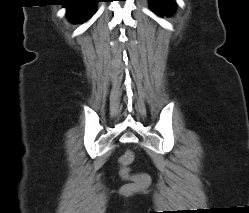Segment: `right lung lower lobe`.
Returning a JSON list of instances; mask_svg holds the SVG:
<instances>
[{"mask_svg":"<svg viewBox=\"0 0 249 213\" xmlns=\"http://www.w3.org/2000/svg\"><path fill=\"white\" fill-rule=\"evenodd\" d=\"M99 0H67L63 3L67 7L69 16L78 21H86L94 12L95 4Z\"/></svg>","mask_w":249,"mask_h":213,"instance_id":"obj_1","label":"right lung lower lobe"}]
</instances>
